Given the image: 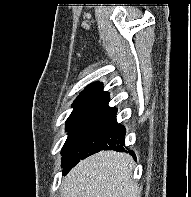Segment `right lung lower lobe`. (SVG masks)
<instances>
[{
	"label": "right lung lower lobe",
	"instance_id": "98d812e1",
	"mask_svg": "<svg viewBox=\"0 0 191 197\" xmlns=\"http://www.w3.org/2000/svg\"><path fill=\"white\" fill-rule=\"evenodd\" d=\"M108 103L109 97L94 107L85 119L71 148V155L63 166L64 175L80 160L101 150H124L125 128L117 124V108L109 107Z\"/></svg>",
	"mask_w": 191,
	"mask_h": 197
}]
</instances>
